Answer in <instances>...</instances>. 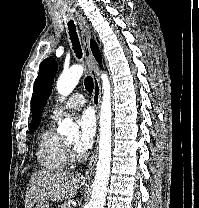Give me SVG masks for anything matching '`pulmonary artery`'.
<instances>
[{"label": "pulmonary artery", "instance_id": "1", "mask_svg": "<svg viewBox=\"0 0 199 208\" xmlns=\"http://www.w3.org/2000/svg\"><path fill=\"white\" fill-rule=\"evenodd\" d=\"M86 100L82 93L76 92L72 94L63 104H57L51 114V117L59 118L66 110L80 108L85 104Z\"/></svg>", "mask_w": 199, "mask_h": 208}]
</instances>
